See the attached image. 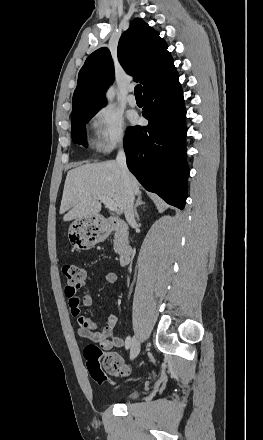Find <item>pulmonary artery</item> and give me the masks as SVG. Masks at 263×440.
<instances>
[{
	"label": "pulmonary artery",
	"mask_w": 263,
	"mask_h": 440,
	"mask_svg": "<svg viewBox=\"0 0 263 440\" xmlns=\"http://www.w3.org/2000/svg\"><path fill=\"white\" fill-rule=\"evenodd\" d=\"M131 91H132V89H131ZM127 101H128V104H129L131 107H135V106L137 105V100H136L135 96H134L132 93H130V94L128 95V97H127Z\"/></svg>",
	"instance_id": "1"
}]
</instances>
